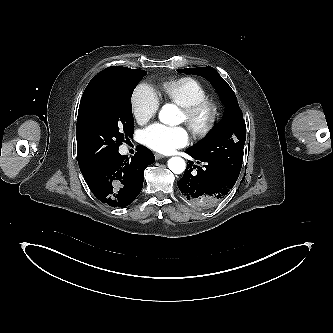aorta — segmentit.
Listing matches in <instances>:
<instances>
[{"label": "aorta", "instance_id": "762f6f07", "mask_svg": "<svg viewBox=\"0 0 333 333\" xmlns=\"http://www.w3.org/2000/svg\"><path fill=\"white\" fill-rule=\"evenodd\" d=\"M179 110L173 104H165L159 112V120L168 125L178 123ZM169 169L175 174H181L186 167V163L181 157H172L168 160Z\"/></svg>", "mask_w": 333, "mask_h": 333}]
</instances>
